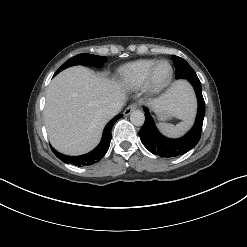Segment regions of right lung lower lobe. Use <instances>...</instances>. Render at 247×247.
Masks as SVG:
<instances>
[{"instance_id": "98d812e1", "label": "right lung lower lobe", "mask_w": 247, "mask_h": 247, "mask_svg": "<svg viewBox=\"0 0 247 247\" xmlns=\"http://www.w3.org/2000/svg\"><path fill=\"white\" fill-rule=\"evenodd\" d=\"M55 76V75H54ZM123 115L119 114L115 116L111 121L108 122V124L105 126L102 140L100 144L91 152L85 155L81 156H66L64 154L59 153L56 151L53 147H51L53 153L63 162L65 163H71L77 166H87L92 165L98 161L101 160V158L106 154V152L109 149L110 141H111V130L114 125V123L121 118Z\"/></svg>"}]
</instances>
